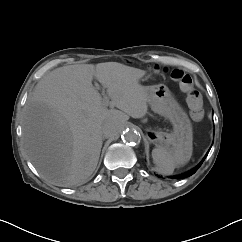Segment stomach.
Returning a JSON list of instances; mask_svg holds the SVG:
<instances>
[{
  "label": "stomach",
  "instance_id": "obj_1",
  "mask_svg": "<svg viewBox=\"0 0 242 242\" xmlns=\"http://www.w3.org/2000/svg\"><path fill=\"white\" fill-rule=\"evenodd\" d=\"M151 109L170 120L174 132L150 131L149 140L157 148L181 152L180 159L188 161L192 153V124L183 108L164 84L147 87Z\"/></svg>",
  "mask_w": 242,
  "mask_h": 242
}]
</instances>
